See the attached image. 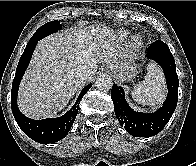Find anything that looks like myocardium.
<instances>
[{"label":"myocardium","mask_w":196,"mask_h":166,"mask_svg":"<svg viewBox=\"0 0 196 166\" xmlns=\"http://www.w3.org/2000/svg\"><path fill=\"white\" fill-rule=\"evenodd\" d=\"M137 43L141 44V39H136Z\"/></svg>","instance_id":"obj_1"}]
</instances>
